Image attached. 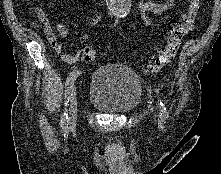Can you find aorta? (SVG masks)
Masks as SVG:
<instances>
[{"label":"aorta","instance_id":"762f6f07","mask_svg":"<svg viewBox=\"0 0 221 174\" xmlns=\"http://www.w3.org/2000/svg\"><path fill=\"white\" fill-rule=\"evenodd\" d=\"M110 14L117 17L126 16L131 9V0H106Z\"/></svg>","mask_w":221,"mask_h":174}]
</instances>
